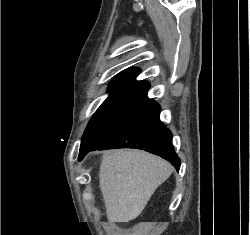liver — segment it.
<instances>
[{
	"label": "liver",
	"instance_id": "obj_1",
	"mask_svg": "<svg viewBox=\"0 0 250 235\" xmlns=\"http://www.w3.org/2000/svg\"><path fill=\"white\" fill-rule=\"evenodd\" d=\"M172 171L168 162L147 152L117 150L106 154L99 183L108 220L129 222L137 218Z\"/></svg>",
	"mask_w": 250,
	"mask_h": 235
}]
</instances>
